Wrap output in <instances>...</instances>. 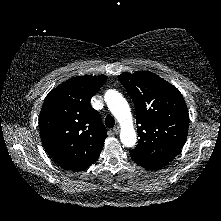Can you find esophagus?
I'll list each match as a JSON object with an SVG mask.
<instances>
[{
  "label": "esophagus",
  "instance_id": "34e87169",
  "mask_svg": "<svg viewBox=\"0 0 221 221\" xmlns=\"http://www.w3.org/2000/svg\"><path fill=\"white\" fill-rule=\"evenodd\" d=\"M119 131H120V127H119L118 125H116V126L113 128V132H114L115 134H118Z\"/></svg>",
  "mask_w": 221,
  "mask_h": 221
}]
</instances>
